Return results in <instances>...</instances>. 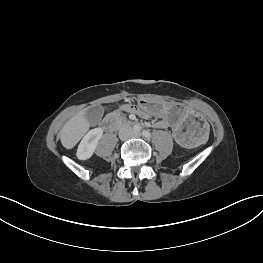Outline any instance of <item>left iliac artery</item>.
<instances>
[{
	"instance_id": "44dca946",
	"label": "left iliac artery",
	"mask_w": 263,
	"mask_h": 263,
	"mask_svg": "<svg viewBox=\"0 0 263 263\" xmlns=\"http://www.w3.org/2000/svg\"><path fill=\"white\" fill-rule=\"evenodd\" d=\"M142 134H143L144 137H146V138H148V139L151 138V134H150V132L147 131V130H143V131H142Z\"/></svg>"
}]
</instances>
